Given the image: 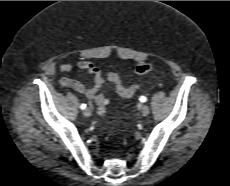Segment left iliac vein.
I'll use <instances>...</instances> for the list:
<instances>
[{
  "mask_svg": "<svg viewBox=\"0 0 230 186\" xmlns=\"http://www.w3.org/2000/svg\"><path fill=\"white\" fill-rule=\"evenodd\" d=\"M140 110H141V113L143 116H147L149 114V111H150L149 106L146 104H142L140 106Z\"/></svg>",
  "mask_w": 230,
  "mask_h": 186,
  "instance_id": "4c4485c4",
  "label": "left iliac vein"
}]
</instances>
